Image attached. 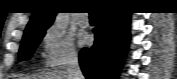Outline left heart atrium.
I'll return each mask as SVG.
<instances>
[{"label":"left heart atrium","instance_id":"left-heart-atrium-1","mask_svg":"<svg viewBox=\"0 0 177 79\" xmlns=\"http://www.w3.org/2000/svg\"><path fill=\"white\" fill-rule=\"evenodd\" d=\"M89 42H90V38L87 35H85V36L82 37V39H81V43L82 44L86 45Z\"/></svg>","mask_w":177,"mask_h":79}]
</instances>
